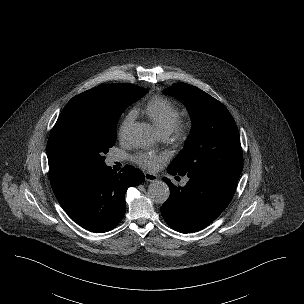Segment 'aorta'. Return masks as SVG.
<instances>
[{
  "label": "aorta",
  "mask_w": 304,
  "mask_h": 304,
  "mask_svg": "<svg viewBox=\"0 0 304 304\" xmlns=\"http://www.w3.org/2000/svg\"><path fill=\"white\" fill-rule=\"evenodd\" d=\"M130 142L135 147L149 146L151 127L145 123H138L130 133ZM148 195L153 202L163 204L169 198V187L164 181L154 180L148 187Z\"/></svg>",
  "instance_id": "1"
}]
</instances>
